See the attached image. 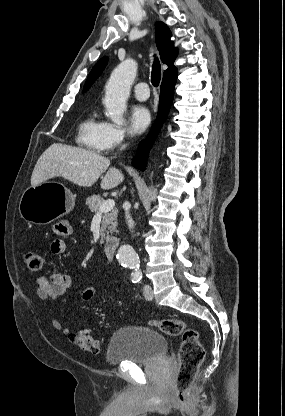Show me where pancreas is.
<instances>
[{
    "instance_id": "pancreas-1",
    "label": "pancreas",
    "mask_w": 285,
    "mask_h": 416,
    "mask_svg": "<svg viewBox=\"0 0 285 416\" xmlns=\"http://www.w3.org/2000/svg\"><path fill=\"white\" fill-rule=\"evenodd\" d=\"M104 200L101 196H90V198H86V204L94 214H98L100 206H102ZM117 214L118 210H112V212H106L103 216V220L101 222V230H100V242L103 244L105 238L109 236V234H113L116 232L118 222H117Z\"/></svg>"
}]
</instances>
